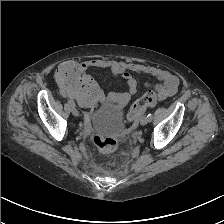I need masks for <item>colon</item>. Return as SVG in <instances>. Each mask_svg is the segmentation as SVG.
<instances>
[{
	"label": "colon",
	"instance_id": "colon-1",
	"mask_svg": "<svg viewBox=\"0 0 224 224\" xmlns=\"http://www.w3.org/2000/svg\"><path fill=\"white\" fill-rule=\"evenodd\" d=\"M56 79L65 90L68 97L75 100L81 106H92L100 98L97 87L92 86L91 77L75 62H66L56 70ZM155 100L154 93H148L138 99L129 112L128 121L133 122L140 112L152 104ZM93 143L103 154L114 153L118 148V142L111 137L95 135Z\"/></svg>",
	"mask_w": 224,
	"mask_h": 224
}]
</instances>
